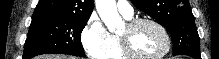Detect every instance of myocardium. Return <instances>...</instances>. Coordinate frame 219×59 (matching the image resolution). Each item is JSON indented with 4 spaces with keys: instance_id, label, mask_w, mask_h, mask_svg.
<instances>
[{
    "instance_id": "obj_1",
    "label": "myocardium",
    "mask_w": 219,
    "mask_h": 59,
    "mask_svg": "<svg viewBox=\"0 0 219 59\" xmlns=\"http://www.w3.org/2000/svg\"><path fill=\"white\" fill-rule=\"evenodd\" d=\"M142 24H151L161 32L165 39L164 50L154 56H141L133 51L128 38L118 36V41L124 57L126 59H162L166 57L170 53L172 47V39L166 27L159 21L147 17L131 19L127 22L126 25L129 29H135L136 27Z\"/></svg>"
}]
</instances>
